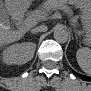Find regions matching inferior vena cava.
<instances>
[{"label": "inferior vena cava", "instance_id": "obj_1", "mask_svg": "<svg viewBox=\"0 0 91 91\" xmlns=\"http://www.w3.org/2000/svg\"><path fill=\"white\" fill-rule=\"evenodd\" d=\"M33 32L37 33V32H45L47 31V27L45 25L42 26H38L34 29H32Z\"/></svg>", "mask_w": 91, "mask_h": 91}]
</instances>
